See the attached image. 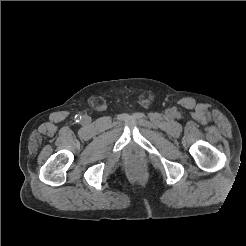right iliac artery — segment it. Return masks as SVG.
<instances>
[{
    "instance_id": "obj_1",
    "label": "right iliac artery",
    "mask_w": 246,
    "mask_h": 246,
    "mask_svg": "<svg viewBox=\"0 0 246 246\" xmlns=\"http://www.w3.org/2000/svg\"><path fill=\"white\" fill-rule=\"evenodd\" d=\"M80 120H81V116H80V115H76V116H75V121H76V122H79Z\"/></svg>"
}]
</instances>
